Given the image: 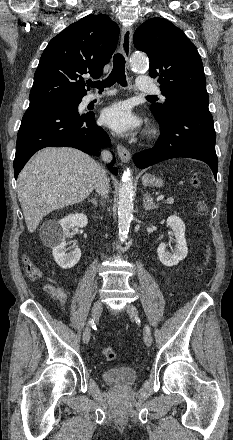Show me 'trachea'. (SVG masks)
Masks as SVG:
<instances>
[{
    "label": "trachea",
    "mask_w": 233,
    "mask_h": 440,
    "mask_svg": "<svg viewBox=\"0 0 233 440\" xmlns=\"http://www.w3.org/2000/svg\"><path fill=\"white\" fill-rule=\"evenodd\" d=\"M118 82L122 86H126V76H125V59L120 53H116L113 57V69L107 79L103 81H88L87 84L90 87H96L99 91H103L104 88L110 87ZM151 98H156V96H148Z\"/></svg>",
    "instance_id": "1"
}]
</instances>
